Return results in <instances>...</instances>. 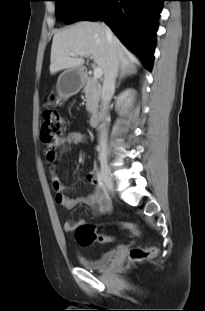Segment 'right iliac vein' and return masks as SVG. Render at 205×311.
I'll return each instance as SVG.
<instances>
[{"instance_id": "1", "label": "right iliac vein", "mask_w": 205, "mask_h": 311, "mask_svg": "<svg viewBox=\"0 0 205 311\" xmlns=\"http://www.w3.org/2000/svg\"><path fill=\"white\" fill-rule=\"evenodd\" d=\"M99 160L101 164V170H102V176H103V181L106 186V188L113 192L114 191V181L113 177L111 175L110 167L108 165L107 161V155L104 150H101L99 153Z\"/></svg>"}]
</instances>
